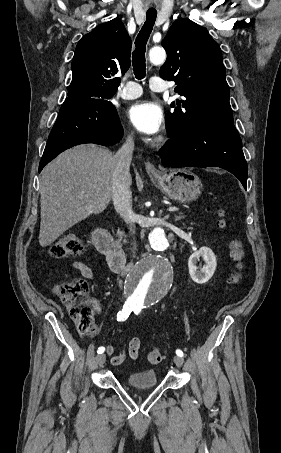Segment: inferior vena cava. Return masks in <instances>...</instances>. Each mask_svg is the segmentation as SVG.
<instances>
[{
  "mask_svg": "<svg viewBox=\"0 0 281 453\" xmlns=\"http://www.w3.org/2000/svg\"><path fill=\"white\" fill-rule=\"evenodd\" d=\"M134 150V140L130 134L127 136L121 148L113 154V160L116 162L113 182H112V200L116 208L123 216L126 224H129L131 235H135L136 216L132 210V196L130 190L131 176L129 172L130 162ZM133 253H136V243H132Z\"/></svg>",
  "mask_w": 281,
  "mask_h": 453,
  "instance_id": "obj_1",
  "label": "inferior vena cava"
}]
</instances>
